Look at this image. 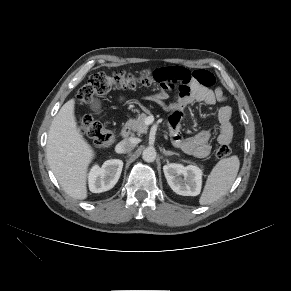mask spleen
<instances>
[{
  "label": "spleen",
  "mask_w": 291,
  "mask_h": 291,
  "mask_svg": "<svg viewBox=\"0 0 291 291\" xmlns=\"http://www.w3.org/2000/svg\"><path fill=\"white\" fill-rule=\"evenodd\" d=\"M239 167L240 161L236 155L221 159L208 175L199 203L208 205L224 196L234 183Z\"/></svg>",
  "instance_id": "1"
}]
</instances>
